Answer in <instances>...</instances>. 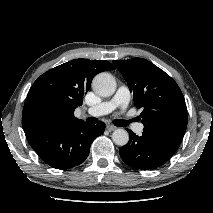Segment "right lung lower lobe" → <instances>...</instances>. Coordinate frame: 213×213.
<instances>
[{"label":"right lung lower lobe","mask_w":213,"mask_h":213,"mask_svg":"<svg viewBox=\"0 0 213 213\" xmlns=\"http://www.w3.org/2000/svg\"><path fill=\"white\" fill-rule=\"evenodd\" d=\"M104 131L103 122L95 126L82 122L64 130L29 129L25 131V135L45 163L55 169H68L85 161L91 143Z\"/></svg>","instance_id":"right-lung-lower-lobe-1"}]
</instances>
